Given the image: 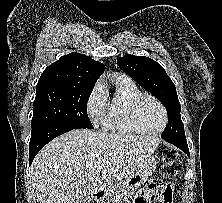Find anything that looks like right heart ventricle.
<instances>
[{
  "label": "right heart ventricle",
  "mask_w": 222,
  "mask_h": 203,
  "mask_svg": "<svg viewBox=\"0 0 222 203\" xmlns=\"http://www.w3.org/2000/svg\"><path fill=\"white\" fill-rule=\"evenodd\" d=\"M141 94L131 80L117 78L114 94L107 103L104 129L120 135L141 134L142 131L133 124L129 112L131 102Z\"/></svg>",
  "instance_id": "e07e8e85"
}]
</instances>
